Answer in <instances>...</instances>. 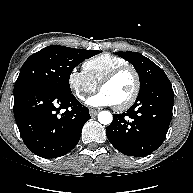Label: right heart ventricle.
Returning a JSON list of instances; mask_svg holds the SVG:
<instances>
[{
    "instance_id": "right-heart-ventricle-1",
    "label": "right heart ventricle",
    "mask_w": 193,
    "mask_h": 193,
    "mask_svg": "<svg viewBox=\"0 0 193 193\" xmlns=\"http://www.w3.org/2000/svg\"><path fill=\"white\" fill-rule=\"evenodd\" d=\"M126 64L129 63L122 57L103 53L85 60L83 63V71L88 78L97 85L111 70Z\"/></svg>"
}]
</instances>
